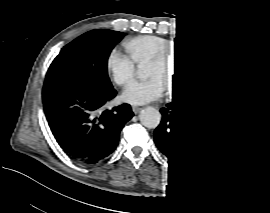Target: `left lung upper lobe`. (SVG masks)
Instances as JSON below:
<instances>
[{"mask_svg": "<svg viewBox=\"0 0 270 213\" xmlns=\"http://www.w3.org/2000/svg\"><path fill=\"white\" fill-rule=\"evenodd\" d=\"M187 38L199 56V78L196 84L189 88L179 100L199 101L222 94L227 86L226 69L217 60L215 54L208 50L200 41L192 39L190 36Z\"/></svg>", "mask_w": 270, "mask_h": 213, "instance_id": "1", "label": "left lung upper lobe"}]
</instances>
